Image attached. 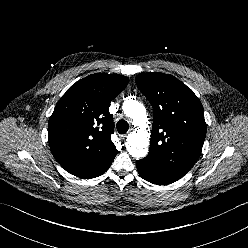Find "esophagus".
Returning a JSON list of instances; mask_svg holds the SVG:
<instances>
[{"instance_id":"esophagus-1","label":"esophagus","mask_w":248,"mask_h":248,"mask_svg":"<svg viewBox=\"0 0 248 248\" xmlns=\"http://www.w3.org/2000/svg\"><path fill=\"white\" fill-rule=\"evenodd\" d=\"M127 137V134H122V135H120V138L121 139H125Z\"/></svg>"}]
</instances>
